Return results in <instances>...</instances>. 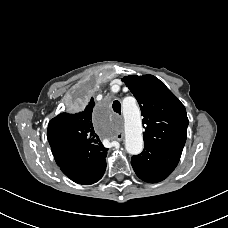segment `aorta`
<instances>
[{"instance_id": "1", "label": "aorta", "mask_w": 228, "mask_h": 228, "mask_svg": "<svg viewBox=\"0 0 228 228\" xmlns=\"http://www.w3.org/2000/svg\"><path fill=\"white\" fill-rule=\"evenodd\" d=\"M122 111L125 120L126 151L132 155L140 154L144 144L140 109L135 101L124 100Z\"/></svg>"}]
</instances>
